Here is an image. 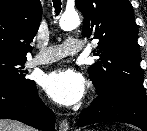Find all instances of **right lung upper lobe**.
<instances>
[{
    "mask_svg": "<svg viewBox=\"0 0 147 131\" xmlns=\"http://www.w3.org/2000/svg\"><path fill=\"white\" fill-rule=\"evenodd\" d=\"M41 17L40 0H0V57L26 59Z\"/></svg>",
    "mask_w": 147,
    "mask_h": 131,
    "instance_id": "obj_1",
    "label": "right lung upper lobe"
}]
</instances>
